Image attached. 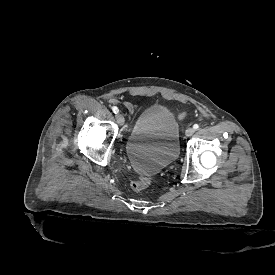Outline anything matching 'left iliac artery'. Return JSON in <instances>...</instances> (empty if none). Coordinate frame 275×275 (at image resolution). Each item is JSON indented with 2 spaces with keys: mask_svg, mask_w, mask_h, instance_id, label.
Segmentation results:
<instances>
[{
  "mask_svg": "<svg viewBox=\"0 0 275 275\" xmlns=\"http://www.w3.org/2000/svg\"><path fill=\"white\" fill-rule=\"evenodd\" d=\"M193 128H194L195 130H197V129L199 128V125H198V124H195V125L193 126Z\"/></svg>",
  "mask_w": 275,
  "mask_h": 275,
  "instance_id": "1",
  "label": "left iliac artery"
}]
</instances>
